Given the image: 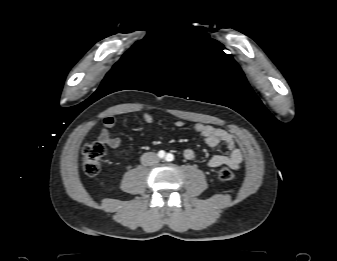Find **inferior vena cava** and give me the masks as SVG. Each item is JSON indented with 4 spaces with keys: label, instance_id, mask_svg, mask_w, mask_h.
Returning a JSON list of instances; mask_svg holds the SVG:
<instances>
[{
    "label": "inferior vena cava",
    "instance_id": "602c4592",
    "mask_svg": "<svg viewBox=\"0 0 337 261\" xmlns=\"http://www.w3.org/2000/svg\"><path fill=\"white\" fill-rule=\"evenodd\" d=\"M158 161L157 155L153 152H147L141 156V163L145 166L155 165Z\"/></svg>",
    "mask_w": 337,
    "mask_h": 261
}]
</instances>
